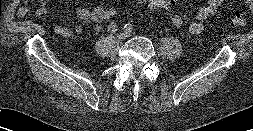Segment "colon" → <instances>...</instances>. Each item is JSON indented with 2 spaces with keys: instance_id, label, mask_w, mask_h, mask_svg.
<instances>
[{
  "instance_id": "1",
  "label": "colon",
  "mask_w": 253,
  "mask_h": 131,
  "mask_svg": "<svg viewBox=\"0 0 253 131\" xmlns=\"http://www.w3.org/2000/svg\"><path fill=\"white\" fill-rule=\"evenodd\" d=\"M145 6L151 11H157L161 9H169L174 0H142ZM104 22H111L117 18V11L114 8H105L103 11ZM247 22L246 12L243 10H235L231 16V23L233 26L242 27Z\"/></svg>"
}]
</instances>
